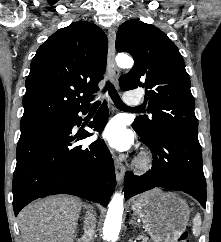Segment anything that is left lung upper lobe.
I'll use <instances>...</instances> for the list:
<instances>
[{"mask_svg": "<svg viewBox=\"0 0 221 242\" xmlns=\"http://www.w3.org/2000/svg\"><path fill=\"white\" fill-rule=\"evenodd\" d=\"M116 50L133 56L134 66L119 80L122 90L145 88L144 104L152 118L139 117L134 129L143 136L166 128L197 133L195 101L184 60L175 44L160 29L128 20L117 32Z\"/></svg>", "mask_w": 221, "mask_h": 242, "instance_id": "5c2ea615", "label": "left lung upper lobe"}]
</instances>
